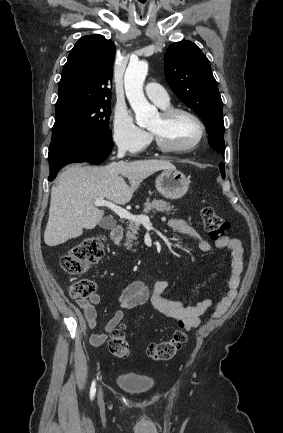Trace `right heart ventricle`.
<instances>
[{
  "label": "right heart ventricle",
  "instance_id": "right-heart-ventricle-1",
  "mask_svg": "<svg viewBox=\"0 0 283 433\" xmlns=\"http://www.w3.org/2000/svg\"><path fill=\"white\" fill-rule=\"evenodd\" d=\"M168 107H169V104H168L167 106L162 107V108L166 109V108H168Z\"/></svg>",
  "mask_w": 283,
  "mask_h": 433
}]
</instances>
